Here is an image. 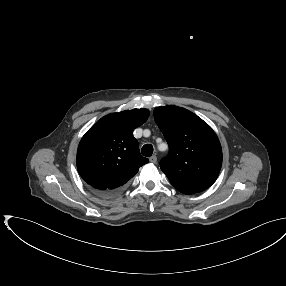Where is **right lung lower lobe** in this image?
Here are the masks:
<instances>
[{"instance_id": "1", "label": "right lung lower lobe", "mask_w": 286, "mask_h": 286, "mask_svg": "<svg viewBox=\"0 0 286 286\" xmlns=\"http://www.w3.org/2000/svg\"><path fill=\"white\" fill-rule=\"evenodd\" d=\"M91 191L94 194H96V195H98L100 197H108V196H111V195L116 194L117 192H119V191H117V192H105V191H100V190H96V189H93V188H91Z\"/></svg>"}]
</instances>
